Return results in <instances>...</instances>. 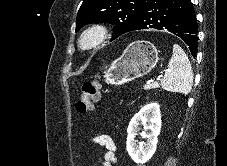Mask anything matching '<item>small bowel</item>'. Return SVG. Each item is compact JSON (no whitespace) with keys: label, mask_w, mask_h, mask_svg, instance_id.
Returning <instances> with one entry per match:
<instances>
[{"label":"small bowel","mask_w":227,"mask_h":166,"mask_svg":"<svg viewBox=\"0 0 227 166\" xmlns=\"http://www.w3.org/2000/svg\"><path fill=\"white\" fill-rule=\"evenodd\" d=\"M91 141L106 150L101 160L103 166H113L116 164V147L109 135H98L93 137Z\"/></svg>","instance_id":"c3829d8e"}]
</instances>
